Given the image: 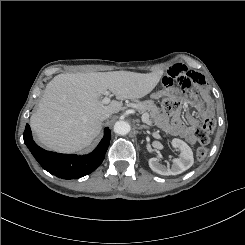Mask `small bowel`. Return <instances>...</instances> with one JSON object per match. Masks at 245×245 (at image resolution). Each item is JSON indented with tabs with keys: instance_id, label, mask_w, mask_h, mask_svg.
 Returning <instances> with one entry per match:
<instances>
[{
	"instance_id": "1",
	"label": "small bowel",
	"mask_w": 245,
	"mask_h": 245,
	"mask_svg": "<svg viewBox=\"0 0 245 245\" xmlns=\"http://www.w3.org/2000/svg\"><path fill=\"white\" fill-rule=\"evenodd\" d=\"M163 84L166 88L171 89L175 93L174 86H179L180 90L187 93V97L192 100H200L201 95L198 91H192L194 87L204 89L206 82L202 74L188 69L184 65H174L165 74ZM203 115H209L211 109L209 106L202 107ZM187 124L180 118V111H174L170 117L168 115H161L159 118L160 127L168 134L180 136L188 143L193 144L196 140L195 130L199 125V120L188 114L186 117Z\"/></svg>"
}]
</instances>
